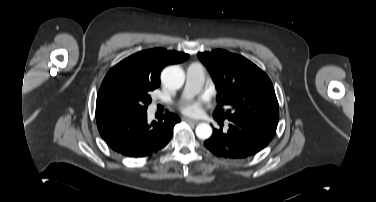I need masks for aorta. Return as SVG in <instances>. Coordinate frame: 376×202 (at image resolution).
Segmentation results:
<instances>
[{"mask_svg": "<svg viewBox=\"0 0 376 202\" xmlns=\"http://www.w3.org/2000/svg\"><path fill=\"white\" fill-rule=\"evenodd\" d=\"M161 80L168 89H179L185 81V74L179 66H169L162 71ZM199 139L206 140L212 135V128L208 123H200L196 127Z\"/></svg>", "mask_w": 376, "mask_h": 202, "instance_id": "aorta-1", "label": "aorta"}]
</instances>
